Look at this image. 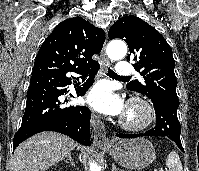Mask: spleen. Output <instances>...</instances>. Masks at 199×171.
<instances>
[{
    "label": "spleen",
    "instance_id": "obj_1",
    "mask_svg": "<svg viewBox=\"0 0 199 171\" xmlns=\"http://www.w3.org/2000/svg\"><path fill=\"white\" fill-rule=\"evenodd\" d=\"M166 166L168 167V171H183L182 163L175 151L169 153L166 159Z\"/></svg>",
    "mask_w": 199,
    "mask_h": 171
}]
</instances>
